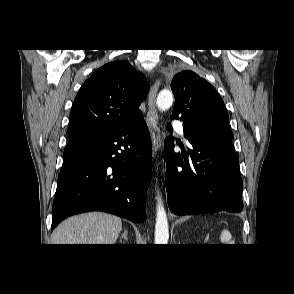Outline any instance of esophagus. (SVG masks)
Wrapping results in <instances>:
<instances>
[{
	"label": "esophagus",
	"mask_w": 294,
	"mask_h": 294,
	"mask_svg": "<svg viewBox=\"0 0 294 294\" xmlns=\"http://www.w3.org/2000/svg\"><path fill=\"white\" fill-rule=\"evenodd\" d=\"M160 85V79L157 78L150 88L148 95V111L146 115V122L152 140L153 155H156L161 148V134L158 126V114L155 107L156 95Z\"/></svg>",
	"instance_id": "34e87169"
}]
</instances>
